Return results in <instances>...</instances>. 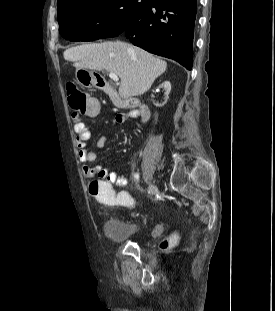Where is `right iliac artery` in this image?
I'll use <instances>...</instances> for the list:
<instances>
[{
    "label": "right iliac artery",
    "instance_id": "right-iliac-artery-1",
    "mask_svg": "<svg viewBox=\"0 0 275 311\" xmlns=\"http://www.w3.org/2000/svg\"><path fill=\"white\" fill-rule=\"evenodd\" d=\"M134 179H135L136 183H138V181H139V174L138 173L134 174ZM137 186L139 187L138 184H137ZM139 189H140V187H139Z\"/></svg>",
    "mask_w": 275,
    "mask_h": 311
}]
</instances>
